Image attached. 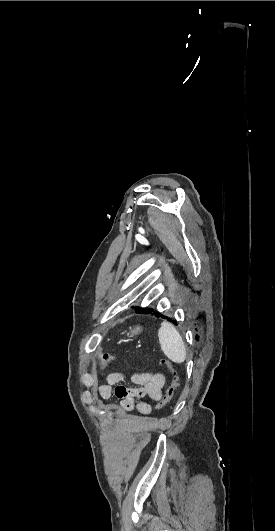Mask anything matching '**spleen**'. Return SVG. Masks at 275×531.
Here are the masks:
<instances>
[{
  "mask_svg": "<svg viewBox=\"0 0 275 531\" xmlns=\"http://www.w3.org/2000/svg\"><path fill=\"white\" fill-rule=\"evenodd\" d=\"M160 347L173 363H184L186 359V349L184 341L178 333L176 327L168 321H163L158 331Z\"/></svg>",
  "mask_w": 275,
  "mask_h": 531,
  "instance_id": "3e777b00",
  "label": "spleen"
}]
</instances>
